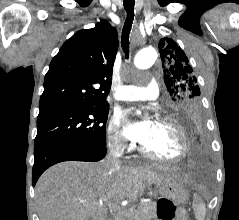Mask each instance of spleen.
<instances>
[{"label":"spleen","instance_id":"1","mask_svg":"<svg viewBox=\"0 0 239 220\" xmlns=\"http://www.w3.org/2000/svg\"><path fill=\"white\" fill-rule=\"evenodd\" d=\"M193 210L197 220H204L206 216V206L202 201L201 197L197 194H194L193 200Z\"/></svg>","mask_w":239,"mask_h":220}]
</instances>
